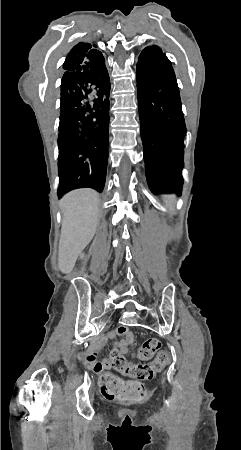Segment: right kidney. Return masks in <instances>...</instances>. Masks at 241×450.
<instances>
[{"instance_id":"obj_1","label":"right kidney","mask_w":241,"mask_h":450,"mask_svg":"<svg viewBox=\"0 0 241 450\" xmlns=\"http://www.w3.org/2000/svg\"><path fill=\"white\" fill-rule=\"evenodd\" d=\"M81 258H84V254H81Z\"/></svg>"}]
</instances>
